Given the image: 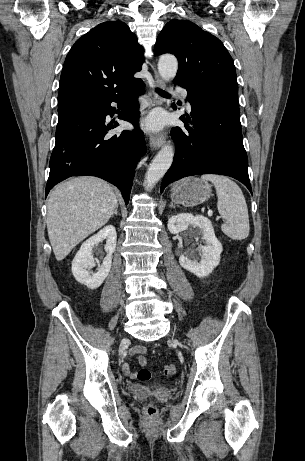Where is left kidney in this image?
<instances>
[{"mask_svg": "<svg viewBox=\"0 0 305 461\" xmlns=\"http://www.w3.org/2000/svg\"><path fill=\"white\" fill-rule=\"evenodd\" d=\"M189 227L197 228L198 233L206 241L205 246L199 247L201 259L193 257V251H185L179 257L180 265L199 278L207 277L220 262L222 244L216 238L211 221L202 215L182 213L172 216L168 220V229L172 234L185 232Z\"/></svg>", "mask_w": 305, "mask_h": 461, "instance_id": "1", "label": "left kidney"}]
</instances>
